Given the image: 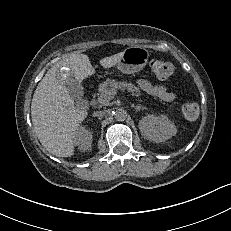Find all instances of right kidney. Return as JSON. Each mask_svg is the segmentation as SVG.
<instances>
[{
  "label": "right kidney",
  "mask_w": 231,
  "mask_h": 231,
  "mask_svg": "<svg viewBox=\"0 0 231 231\" xmlns=\"http://www.w3.org/2000/svg\"><path fill=\"white\" fill-rule=\"evenodd\" d=\"M92 140L93 136L91 131L82 126L77 129L74 142L81 152H85L91 147Z\"/></svg>",
  "instance_id": "ca27d5eb"
}]
</instances>
